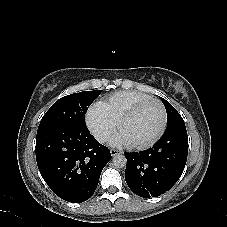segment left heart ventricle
<instances>
[{
  "label": "left heart ventricle",
  "instance_id": "obj_1",
  "mask_svg": "<svg viewBox=\"0 0 227 227\" xmlns=\"http://www.w3.org/2000/svg\"><path fill=\"white\" fill-rule=\"evenodd\" d=\"M161 123L162 111L160 106L155 102H149L123 125L120 133L131 144L144 143L157 133Z\"/></svg>",
  "mask_w": 227,
  "mask_h": 227
}]
</instances>
